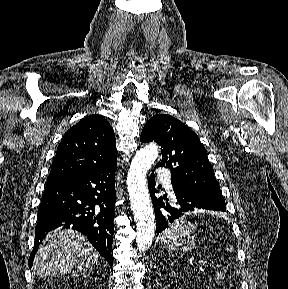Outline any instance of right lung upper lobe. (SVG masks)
Segmentation results:
<instances>
[{"mask_svg": "<svg viewBox=\"0 0 288 289\" xmlns=\"http://www.w3.org/2000/svg\"><path fill=\"white\" fill-rule=\"evenodd\" d=\"M116 160L112 127L102 116L90 115L65 133L47 181L94 171Z\"/></svg>", "mask_w": 288, "mask_h": 289, "instance_id": "obj_1", "label": "right lung upper lobe"}]
</instances>
